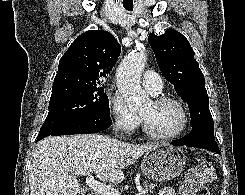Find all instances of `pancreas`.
<instances>
[{
    "label": "pancreas",
    "instance_id": "cf45deb5",
    "mask_svg": "<svg viewBox=\"0 0 245 195\" xmlns=\"http://www.w3.org/2000/svg\"><path fill=\"white\" fill-rule=\"evenodd\" d=\"M143 184L145 187V191L150 192V193L153 192L157 186V184H155V183L148 184L146 181Z\"/></svg>",
    "mask_w": 245,
    "mask_h": 195
}]
</instances>
